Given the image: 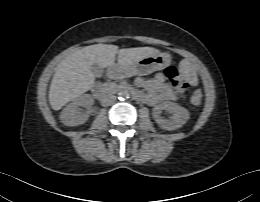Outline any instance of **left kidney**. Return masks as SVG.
<instances>
[{"label":"left kidney","mask_w":260,"mask_h":202,"mask_svg":"<svg viewBox=\"0 0 260 202\" xmlns=\"http://www.w3.org/2000/svg\"><path fill=\"white\" fill-rule=\"evenodd\" d=\"M163 110L172 114L171 120L162 119L160 114ZM189 112L177 103L163 102L153 108V117L158 125L165 130L172 131L181 128L189 120Z\"/></svg>","instance_id":"left-kidney-1"}]
</instances>
